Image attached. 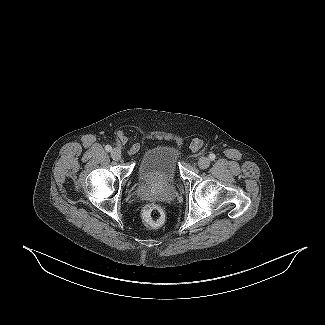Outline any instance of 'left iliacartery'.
Masks as SVG:
<instances>
[{"mask_svg": "<svg viewBox=\"0 0 325 325\" xmlns=\"http://www.w3.org/2000/svg\"><path fill=\"white\" fill-rule=\"evenodd\" d=\"M209 158L213 161V160H215L216 156H215V154L212 153L209 155Z\"/></svg>", "mask_w": 325, "mask_h": 325, "instance_id": "44dca946", "label": "left iliac artery"}]
</instances>
